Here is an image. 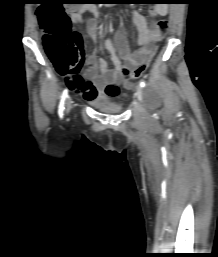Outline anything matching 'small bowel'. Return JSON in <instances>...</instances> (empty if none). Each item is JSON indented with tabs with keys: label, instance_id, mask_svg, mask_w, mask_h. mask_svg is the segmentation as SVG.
Returning a JSON list of instances; mask_svg holds the SVG:
<instances>
[{
	"label": "small bowel",
	"instance_id": "c3829d8e",
	"mask_svg": "<svg viewBox=\"0 0 218 257\" xmlns=\"http://www.w3.org/2000/svg\"><path fill=\"white\" fill-rule=\"evenodd\" d=\"M93 14L94 18L86 24L87 34L96 42L98 26V9L94 5H83L75 10L70 11L71 21L75 24H82L84 13ZM154 15L165 16L168 13V7L164 4L157 5L152 10ZM129 17L138 30V48L130 52L127 40L124 36L123 29L119 28L111 39L105 40V47L110 53L111 61L114 68H109L104 59H97L92 52L86 63L84 73L66 82L71 90L85 100H95L98 97H104V83H117L120 85L123 78L133 69L141 65L145 59L155 50L156 43L161 40L167 29V22L164 20H153L149 22L145 16L136 11H131ZM119 52L120 57L116 54Z\"/></svg>",
	"mask_w": 218,
	"mask_h": 257
}]
</instances>
